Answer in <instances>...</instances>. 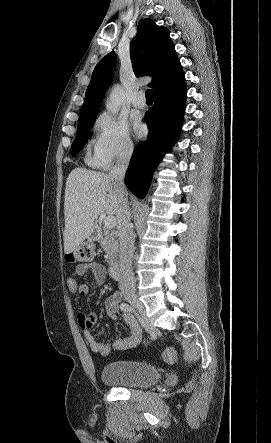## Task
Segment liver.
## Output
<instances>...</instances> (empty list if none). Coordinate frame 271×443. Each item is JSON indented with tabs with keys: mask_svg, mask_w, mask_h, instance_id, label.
<instances>
[{
	"mask_svg": "<svg viewBox=\"0 0 271 443\" xmlns=\"http://www.w3.org/2000/svg\"><path fill=\"white\" fill-rule=\"evenodd\" d=\"M121 190L114 178L102 172L75 168L70 172L64 196V251H74L93 231L100 214L121 216Z\"/></svg>",
	"mask_w": 271,
	"mask_h": 443,
	"instance_id": "1",
	"label": "liver"
}]
</instances>
